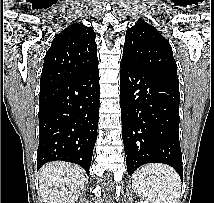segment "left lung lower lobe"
<instances>
[{"mask_svg":"<svg viewBox=\"0 0 214 203\" xmlns=\"http://www.w3.org/2000/svg\"><path fill=\"white\" fill-rule=\"evenodd\" d=\"M120 66L122 138L128 174L143 164L164 163L183 181L179 80L123 57Z\"/></svg>","mask_w":214,"mask_h":203,"instance_id":"0a47b994","label":"left lung lower lobe"}]
</instances>
